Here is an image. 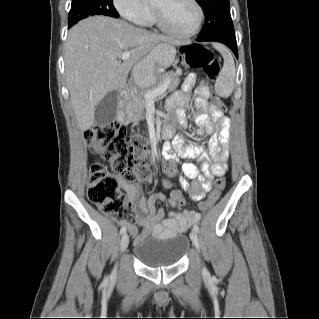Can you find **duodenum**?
Instances as JSON below:
<instances>
[{"instance_id": "obj_1", "label": "duodenum", "mask_w": 319, "mask_h": 319, "mask_svg": "<svg viewBox=\"0 0 319 319\" xmlns=\"http://www.w3.org/2000/svg\"><path fill=\"white\" fill-rule=\"evenodd\" d=\"M129 104V95L128 91L126 89L123 90L121 97L119 101L116 104V121L118 123H126L127 122V116H126V108ZM173 133L172 127H166L163 130L164 136H171Z\"/></svg>"}]
</instances>
